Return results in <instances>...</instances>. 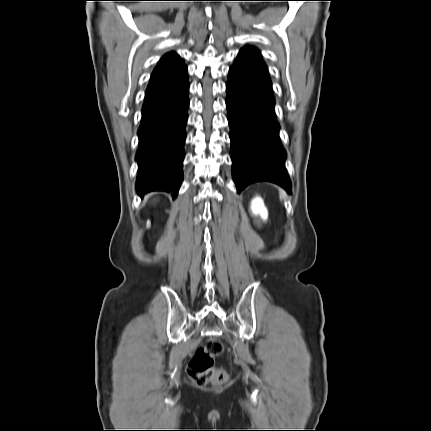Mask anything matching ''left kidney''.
<instances>
[{"label":"left kidney","mask_w":431,"mask_h":431,"mask_svg":"<svg viewBox=\"0 0 431 431\" xmlns=\"http://www.w3.org/2000/svg\"><path fill=\"white\" fill-rule=\"evenodd\" d=\"M250 210L253 215L260 216L261 219L264 221L267 220L268 211L261 197L256 196L255 198L252 199L250 204Z\"/></svg>","instance_id":"5707ae66"}]
</instances>
